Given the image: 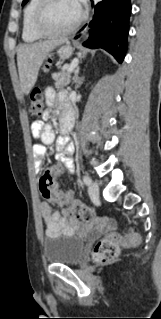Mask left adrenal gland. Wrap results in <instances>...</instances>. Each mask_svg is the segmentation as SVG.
<instances>
[{
    "label": "left adrenal gland",
    "mask_w": 161,
    "mask_h": 319,
    "mask_svg": "<svg viewBox=\"0 0 161 319\" xmlns=\"http://www.w3.org/2000/svg\"><path fill=\"white\" fill-rule=\"evenodd\" d=\"M78 74H79V67H77L75 72H74L73 83H77L79 81Z\"/></svg>",
    "instance_id": "a2214340"
}]
</instances>
